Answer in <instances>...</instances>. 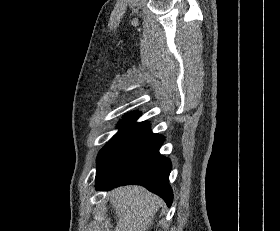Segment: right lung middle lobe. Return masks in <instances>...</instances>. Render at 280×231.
<instances>
[{"mask_svg": "<svg viewBox=\"0 0 280 231\" xmlns=\"http://www.w3.org/2000/svg\"><path fill=\"white\" fill-rule=\"evenodd\" d=\"M133 126L134 125L127 123V122H120L118 124V127H120V130L112 137V139L107 144H109L111 141H113L115 138H117L118 136H120L122 133H124L128 129L132 128Z\"/></svg>", "mask_w": 280, "mask_h": 231, "instance_id": "right-lung-middle-lobe-1", "label": "right lung middle lobe"}]
</instances>
